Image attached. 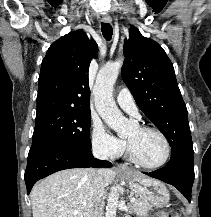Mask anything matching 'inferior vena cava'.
Instances as JSON below:
<instances>
[{
  "label": "inferior vena cava",
  "instance_id": "obj_1",
  "mask_svg": "<svg viewBox=\"0 0 211 217\" xmlns=\"http://www.w3.org/2000/svg\"><path fill=\"white\" fill-rule=\"evenodd\" d=\"M93 155L96 158L106 160L107 159V150L105 146H97L93 148ZM94 208L91 214V217H104V194H105V184L103 181L102 170H98L94 177Z\"/></svg>",
  "mask_w": 211,
  "mask_h": 217
}]
</instances>
